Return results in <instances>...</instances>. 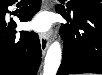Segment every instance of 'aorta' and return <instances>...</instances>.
<instances>
[{"label":"aorta","mask_w":102,"mask_h":75,"mask_svg":"<svg viewBox=\"0 0 102 75\" xmlns=\"http://www.w3.org/2000/svg\"><path fill=\"white\" fill-rule=\"evenodd\" d=\"M61 46L59 42L50 45L44 62L43 75H56L61 62Z\"/></svg>","instance_id":"obj_1"}]
</instances>
